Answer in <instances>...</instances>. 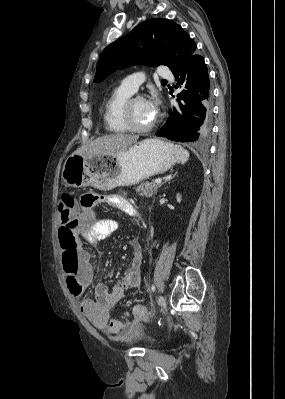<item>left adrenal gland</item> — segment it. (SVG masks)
<instances>
[{
  "mask_svg": "<svg viewBox=\"0 0 285 399\" xmlns=\"http://www.w3.org/2000/svg\"><path fill=\"white\" fill-rule=\"evenodd\" d=\"M178 173H174V175H172L171 177H169L168 179L165 180V182H163L161 185H163L164 183L170 181L171 179H173ZM161 185H159V187H161Z\"/></svg>",
  "mask_w": 285,
  "mask_h": 399,
  "instance_id": "a2214340",
  "label": "left adrenal gland"
}]
</instances>
